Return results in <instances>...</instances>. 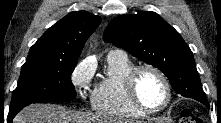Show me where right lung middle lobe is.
I'll list each match as a JSON object with an SVG mask.
<instances>
[{
	"instance_id": "1",
	"label": "right lung middle lobe",
	"mask_w": 221,
	"mask_h": 123,
	"mask_svg": "<svg viewBox=\"0 0 221 123\" xmlns=\"http://www.w3.org/2000/svg\"><path fill=\"white\" fill-rule=\"evenodd\" d=\"M76 65L77 59L27 57L13 91L9 113L16 114L32 103L76 98L70 78Z\"/></svg>"
}]
</instances>
